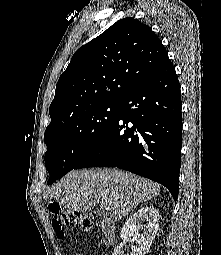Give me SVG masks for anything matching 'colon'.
<instances>
[{"label": "colon", "instance_id": "5ec220e1", "mask_svg": "<svg viewBox=\"0 0 221 255\" xmlns=\"http://www.w3.org/2000/svg\"><path fill=\"white\" fill-rule=\"evenodd\" d=\"M51 210L54 214L52 227L57 237L60 239L65 237V229L68 227L81 229H89L92 227L93 221L89 216L71 212H63L60 211L56 205H53Z\"/></svg>", "mask_w": 221, "mask_h": 255}]
</instances>
